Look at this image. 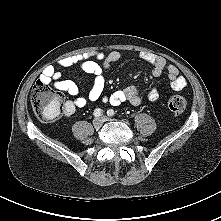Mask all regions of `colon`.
Segmentation results:
<instances>
[{"mask_svg": "<svg viewBox=\"0 0 221 221\" xmlns=\"http://www.w3.org/2000/svg\"><path fill=\"white\" fill-rule=\"evenodd\" d=\"M30 101L35 115L43 121L57 119L64 110L62 95L43 82L34 85ZM186 107L187 102L182 96L173 95L168 99V108L175 114L183 113Z\"/></svg>", "mask_w": 221, "mask_h": 221, "instance_id": "obj_1", "label": "colon"}]
</instances>
